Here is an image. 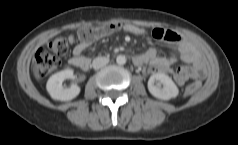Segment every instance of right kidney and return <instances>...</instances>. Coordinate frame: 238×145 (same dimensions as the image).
<instances>
[{
  "instance_id": "right-kidney-1",
  "label": "right kidney",
  "mask_w": 238,
  "mask_h": 145,
  "mask_svg": "<svg viewBox=\"0 0 238 145\" xmlns=\"http://www.w3.org/2000/svg\"><path fill=\"white\" fill-rule=\"evenodd\" d=\"M75 78L73 69H65L52 75L47 82V91L51 98L60 101H69L74 99L80 93V87L72 85L64 88L63 82L66 79Z\"/></svg>"
}]
</instances>
